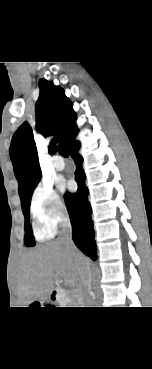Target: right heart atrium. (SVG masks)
Masks as SVG:
<instances>
[{"mask_svg": "<svg viewBox=\"0 0 152 369\" xmlns=\"http://www.w3.org/2000/svg\"><path fill=\"white\" fill-rule=\"evenodd\" d=\"M30 212L37 232L42 236L54 234L58 225L67 217L64 200L48 184H40L33 190Z\"/></svg>", "mask_w": 152, "mask_h": 369, "instance_id": "1", "label": "right heart atrium"}]
</instances>
